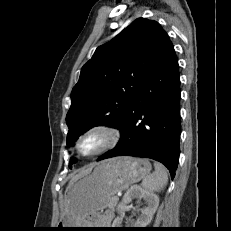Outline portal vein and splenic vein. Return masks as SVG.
I'll use <instances>...</instances> for the list:
<instances>
[{
    "label": "portal vein and splenic vein",
    "instance_id": "1",
    "mask_svg": "<svg viewBox=\"0 0 231 231\" xmlns=\"http://www.w3.org/2000/svg\"><path fill=\"white\" fill-rule=\"evenodd\" d=\"M115 197V199H118L119 198V194H117L116 196H114Z\"/></svg>",
    "mask_w": 231,
    "mask_h": 231
}]
</instances>
